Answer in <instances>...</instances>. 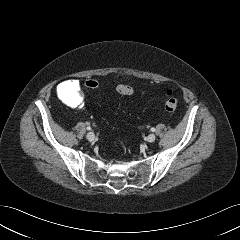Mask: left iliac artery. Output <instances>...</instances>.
I'll return each mask as SVG.
<instances>
[{"mask_svg":"<svg viewBox=\"0 0 240 240\" xmlns=\"http://www.w3.org/2000/svg\"><path fill=\"white\" fill-rule=\"evenodd\" d=\"M151 131H152V132H155V131H156V129H155V128H151Z\"/></svg>","mask_w":240,"mask_h":240,"instance_id":"44dca946","label":"left iliac artery"}]
</instances>
